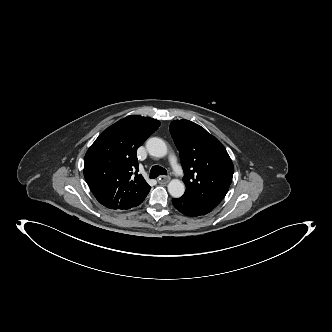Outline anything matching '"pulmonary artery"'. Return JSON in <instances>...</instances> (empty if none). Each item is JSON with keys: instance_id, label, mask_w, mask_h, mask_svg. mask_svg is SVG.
I'll return each mask as SVG.
<instances>
[{"instance_id": "pulmonary-artery-1", "label": "pulmonary artery", "mask_w": 332, "mask_h": 332, "mask_svg": "<svg viewBox=\"0 0 332 332\" xmlns=\"http://www.w3.org/2000/svg\"><path fill=\"white\" fill-rule=\"evenodd\" d=\"M169 161H170V164H171L172 168L174 169V171L176 173H178L179 175H183L182 168L178 164L177 159L174 155L170 156Z\"/></svg>"}]
</instances>
